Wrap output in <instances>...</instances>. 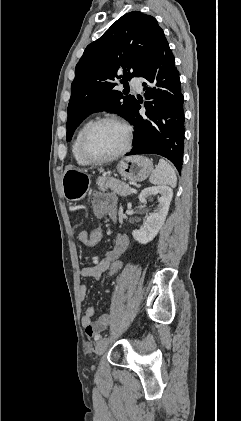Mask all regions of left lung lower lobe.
<instances>
[{
  "instance_id": "1",
  "label": "left lung lower lobe",
  "mask_w": 241,
  "mask_h": 421,
  "mask_svg": "<svg viewBox=\"0 0 241 421\" xmlns=\"http://www.w3.org/2000/svg\"><path fill=\"white\" fill-rule=\"evenodd\" d=\"M136 77L144 78L146 116L139 115L137 101L130 122L134 125V147L127 155L158 154L180 172L184 148V111L179 72L161 30Z\"/></svg>"
}]
</instances>
